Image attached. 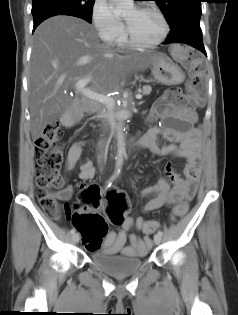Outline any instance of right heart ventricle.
Here are the masks:
<instances>
[{"label":"right heart ventricle","mask_w":238,"mask_h":315,"mask_svg":"<svg viewBox=\"0 0 238 315\" xmlns=\"http://www.w3.org/2000/svg\"><path fill=\"white\" fill-rule=\"evenodd\" d=\"M115 43L120 47H124L127 44L123 33L119 35V37L115 40Z\"/></svg>","instance_id":"obj_1"}]
</instances>
